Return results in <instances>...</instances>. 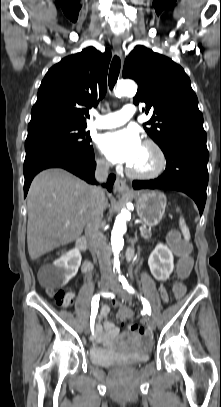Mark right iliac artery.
I'll list each match as a JSON object with an SVG mask.
<instances>
[{
	"mask_svg": "<svg viewBox=\"0 0 221 407\" xmlns=\"http://www.w3.org/2000/svg\"><path fill=\"white\" fill-rule=\"evenodd\" d=\"M104 296H110L111 294L109 293H103ZM99 299H100V294H96L92 298V309H91V316H90V329L92 334L94 333V324H95V318L98 313V307H99Z\"/></svg>",
	"mask_w": 221,
	"mask_h": 407,
	"instance_id": "1",
	"label": "right iliac artery"
}]
</instances>
